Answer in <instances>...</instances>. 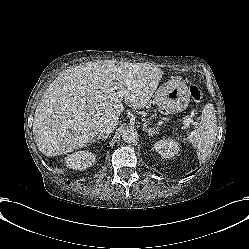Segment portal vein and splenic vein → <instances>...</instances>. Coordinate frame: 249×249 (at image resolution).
Returning a JSON list of instances; mask_svg holds the SVG:
<instances>
[{"instance_id":"obj_1","label":"portal vein and splenic vein","mask_w":249,"mask_h":249,"mask_svg":"<svg viewBox=\"0 0 249 249\" xmlns=\"http://www.w3.org/2000/svg\"><path fill=\"white\" fill-rule=\"evenodd\" d=\"M191 122V119H186L183 121V125H189V123Z\"/></svg>"}]
</instances>
